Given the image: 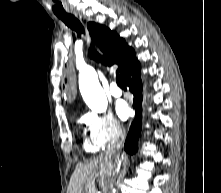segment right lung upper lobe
Segmentation results:
<instances>
[{
  "label": "right lung upper lobe",
  "mask_w": 221,
  "mask_h": 193,
  "mask_svg": "<svg viewBox=\"0 0 221 193\" xmlns=\"http://www.w3.org/2000/svg\"><path fill=\"white\" fill-rule=\"evenodd\" d=\"M87 28L93 41L105 55L102 57L92 48L90 50L91 58L109 66L117 64V71L120 72L123 79L139 64L133 48L129 47L116 32L94 22H89Z\"/></svg>",
  "instance_id": "obj_1"
}]
</instances>
